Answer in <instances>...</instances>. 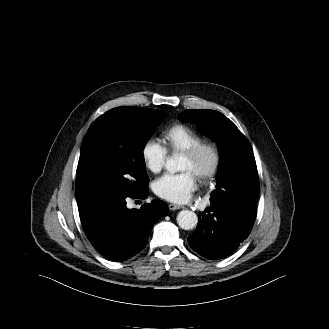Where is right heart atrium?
Here are the masks:
<instances>
[{
  "label": "right heart atrium",
  "mask_w": 329,
  "mask_h": 329,
  "mask_svg": "<svg viewBox=\"0 0 329 329\" xmlns=\"http://www.w3.org/2000/svg\"><path fill=\"white\" fill-rule=\"evenodd\" d=\"M141 158L148 170L158 173L168 159L167 148L155 138H148L142 145Z\"/></svg>",
  "instance_id": "obj_1"
}]
</instances>
